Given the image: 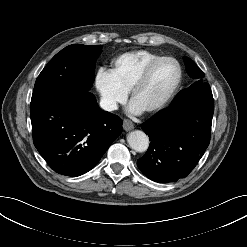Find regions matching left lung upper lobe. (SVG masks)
Listing matches in <instances>:
<instances>
[{"label":"left lung upper lobe","instance_id":"1","mask_svg":"<svg viewBox=\"0 0 247 247\" xmlns=\"http://www.w3.org/2000/svg\"><path fill=\"white\" fill-rule=\"evenodd\" d=\"M184 62L188 75L196 79V82L192 84L189 88L181 90L173 100L181 98L194 87L203 84L202 78L204 77V73L201 71V69L188 57H184Z\"/></svg>","mask_w":247,"mask_h":247}]
</instances>
